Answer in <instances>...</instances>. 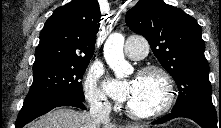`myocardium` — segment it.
Masks as SVG:
<instances>
[{
	"mask_svg": "<svg viewBox=\"0 0 221 128\" xmlns=\"http://www.w3.org/2000/svg\"><path fill=\"white\" fill-rule=\"evenodd\" d=\"M147 75H155L160 78L163 85L162 98L157 100L152 108L147 110L136 111L133 110L128 104L126 105V113L135 119H152L163 115L172 106L175 98L174 83L170 74L162 67L150 65L142 68L139 77Z\"/></svg>",
	"mask_w": 221,
	"mask_h": 128,
	"instance_id": "f54148a6",
	"label": "myocardium"
}]
</instances>
